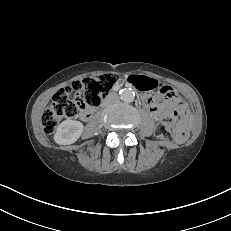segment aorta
Wrapping results in <instances>:
<instances>
[{"label": "aorta", "mask_w": 231, "mask_h": 231, "mask_svg": "<svg viewBox=\"0 0 231 231\" xmlns=\"http://www.w3.org/2000/svg\"><path fill=\"white\" fill-rule=\"evenodd\" d=\"M120 98L125 102H132L135 98V93L131 89H123L120 93Z\"/></svg>", "instance_id": "aorta-1"}]
</instances>
